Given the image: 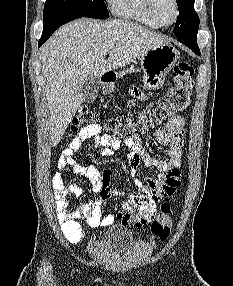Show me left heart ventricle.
<instances>
[{
	"instance_id": "left-heart-ventricle-1",
	"label": "left heart ventricle",
	"mask_w": 233,
	"mask_h": 286,
	"mask_svg": "<svg viewBox=\"0 0 233 286\" xmlns=\"http://www.w3.org/2000/svg\"><path fill=\"white\" fill-rule=\"evenodd\" d=\"M154 10L161 23L168 24L174 19L175 7L172 0H155Z\"/></svg>"
}]
</instances>
